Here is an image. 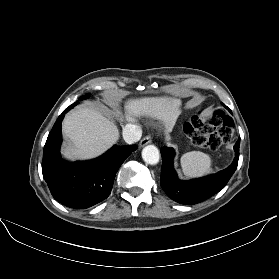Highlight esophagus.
Segmentation results:
<instances>
[{
    "instance_id": "esophagus-1",
    "label": "esophagus",
    "mask_w": 279,
    "mask_h": 279,
    "mask_svg": "<svg viewBox=\"0 0 279 279\" xmlns=\"http://www.w3.org/2000/svg\"><path fill=\"white\" fill-rule=\"evenodd\" d=\"M151 142H152L151 136L147 135L140 141V147L150 144Z\"/></svg>"
}]
</instances>
